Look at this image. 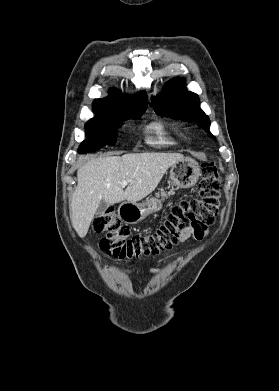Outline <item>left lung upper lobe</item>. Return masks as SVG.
Here are the masks:
<instances>
[{"label":"left lung upper lobe","mask_w":279,"mask_h":391,"mask_svg":"<svg viewBox=\"0 0 279 391\" xmlns=\"http://www.w3.org/2000/svg\"><path fill=\"white\" fill-rule=\"evenodd\" d=\"M182 79H172L163 88V92L157 97H152L155 111L162 116H170L174 119L196 122L202 126L209 135V117L201 110L198 95L193 92H185Z\"/></svg>","instance_id":"left-lung-upper-lobe-1"}]
</instances>
